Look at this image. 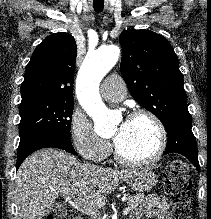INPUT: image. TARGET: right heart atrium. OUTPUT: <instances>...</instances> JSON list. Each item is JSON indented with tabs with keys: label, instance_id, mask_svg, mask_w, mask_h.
Masks as SVG:
<instances>
[{
	"label": "right heart atrium",
	"instance_id": "right-heart-atrium-1",
	"mask_svg": "<svg viewBox=\"0 0 211 219\" xmlns=\"http://www.w3.org/2000/svg\"><path fill=\"white\" fill-rule=\"evenodd\" d=\"M70 137L76 151L88 161L100 162L110 153V144L100 138L90 122L79 114L72 116Z\"/></svg>",
	"mask_w": 211,
	"mask_h": 219
}]
</instances>
